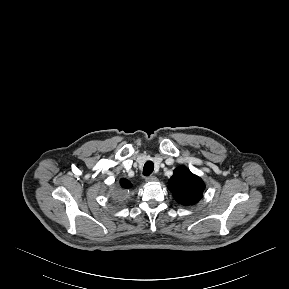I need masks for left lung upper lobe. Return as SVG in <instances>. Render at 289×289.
I'll return each mask as SVG.
<instances>
[{
  "label": "left lung upper lobe",
  "instance_id": "5c2ea615",
  "mask_svg": "<svg viewBox=\"0 0 289 289\" xmlns=\"http://www.w3.org/2000/svg\"><path fill=\"white\" fill-rule=\"evenodd\" d=\"M168 188L177 202L182 205H192L202 198L205 184L186 167H178L169 180Z\"/></svg>",
  "mask_w": 289,
  "mask_h": 289
}]
</instances>
